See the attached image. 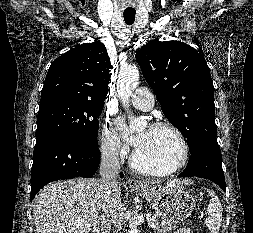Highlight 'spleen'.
I'll return each mask as SVG.
<instances>
[{"mask_svg":"<svg viewBox=\"0 0 253 233\" xmlns=\"http://www.w3.org/2000/svg\"><path fill=\"white\" fill-rule=\"evenodd\" d=\"M207 192L211 197V201L207 208L208 217L205 220V224L211 233H219L222 222V205L213 191L207 189Z\"/></svg>","mask_w":253,"mask_h":233,"instance_id":"3e777b00","label":"spleen"}]
</instances>
